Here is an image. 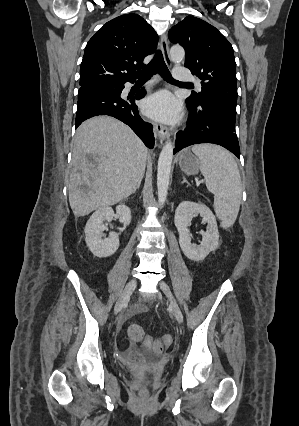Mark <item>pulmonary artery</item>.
<instances>
[{
	"instance_id": "e3ab8cb5",
	"label": "pulmonary artery",
	"mask_w": 299,
	"mask_h": 426,
	"mask_svg": "<svg viewBox=\"0 0 299 426\" xmlns=\"http://www.w3.org/2000/svg\"><path fill=\"white\" fill-rule=\"evenodd\" d=\"M173 75L176 80H180V81L191 80V77L186 73V69L183 67H175L173 70ZM197 86L200 87V84L197 83Z\"/></svg>"
}]
</instances>
